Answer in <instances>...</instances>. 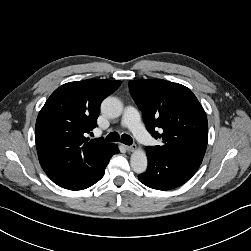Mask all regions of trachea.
I'll list each match as a JSON object with an SVG mask.
<instances>
[{"mask_svg": "<svg viewBox=\"0 0 251 251\" xmlns=\"http://www.w3.org/2000/svg\"><path fill=\"white\" fill-rule=\"evenodd\" d=\"M119 138H120V136L118 133L112 132L106 137V141L117 142V141H119ZM121 142L126 145H131L133 143V140L129 135L123 134V135H121Z\"/></svg>", "mask_w": 251, "mask_h": 251, "instance_id": "trachea-1", "label": "trachea"}]
</instances>
